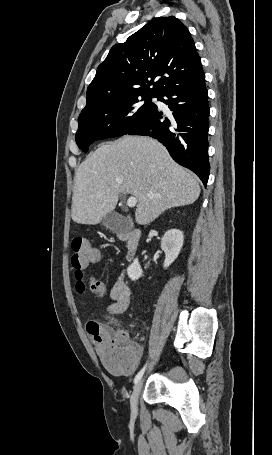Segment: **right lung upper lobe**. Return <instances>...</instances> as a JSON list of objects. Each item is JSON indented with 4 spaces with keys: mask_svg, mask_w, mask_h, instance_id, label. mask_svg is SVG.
Masks as SVG:
<instances>
[{
    "mask_svg": "<svg viewBox=\"0 0 272 455\" xmlns=\"http://www.w3.org/2000/svg\"><path fill=\"white\" fill-rule=\"evenodd\" d=\"M202 72L188 29L174 16L159 17L111 48L87 88L81 113L130 96L161 95Z\"/></svg>",
    "mask_w": 272,
    "mask_h": 455,
    "instance_id": "obj_1",
    "label": "right lung upper lobe"
}]
</instances>
